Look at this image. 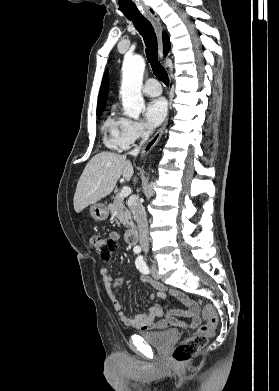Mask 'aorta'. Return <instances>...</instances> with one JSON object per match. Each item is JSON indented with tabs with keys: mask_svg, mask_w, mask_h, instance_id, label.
<instances>
[{
	"mask_svg": "<svg viewBox=\"0 0 279 391\" xmlns=\"http://www.w3.org/2000/svg\"><path fill=\"white\" fill-rule=\"evenodd\" d=\"M145 61L140 55L127 56L122 65L121 97L125 115L138 119L144 108L141 95Z\"/></svg>",
	"mask_w": 279,
	"mask_h": 391,
	"instance_id": "aorta-1",
	"label": "aorta"
}]
</instances>
